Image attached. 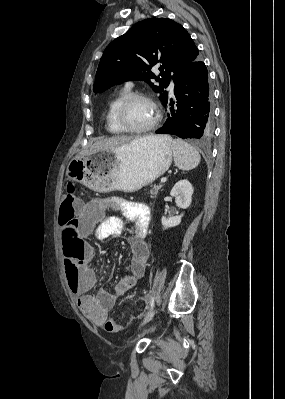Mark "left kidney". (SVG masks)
I'll use <instances>...</instances> for the list:
<instances>
[{"label":"left kidney","mask_w":285,"mask_h":399,"mask_svg":"<svg viewBox=\"0 0 285 399\" xmlns=\"http://www.w3.org/2000/svg\"><path fill=\"white\" fill-rule=\"evenodd\" d=\"M170 195L175 197V202L179 208L187 209L192 202L193 187L188 180H180L174 185L170 192ZM182 217L183 214L172 216L169 218L162 216V226L165 229L178 226L181 223Z\"/></svg>","instance_id":"left-kidney-1"}]
</instances>
